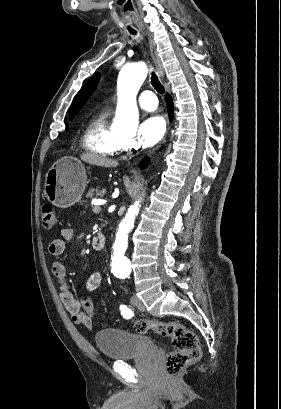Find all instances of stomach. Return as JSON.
I'll return each instance as SVG.
<instances>
[{
    "instance_id": "stomach-1",
    "label": "stomach",
    "mask_w": 281,
    "mask_h": 409,
    "mask_svg": "<svg viewBox=\"0 0 281 409\" xmlns=\"http://www.w3.org/2000/svg\"><path fill=\"white\" fill-rule=\"evenodd\" d=\"M86 178L85 166L79 158L62 156L46 172L44 192L52 205L68 209L83 194Z\"/></svg>"
}]
</instances>
